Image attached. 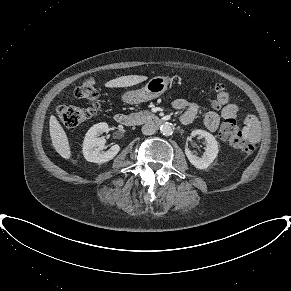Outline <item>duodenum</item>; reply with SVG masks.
Returning a JSON list of instances; mask_svg holds the SVG:
<instances>
[{"instance_id": "duodenum-1", "label": "duodenum", "mask_w": 291, "mask_h": 291, "mask_svg": "<svg viewBox=\"0 0 291 291\" xmlns=\"http://www.w3.org/2000/svg\"><path fill=\"white\" fill-rule=\"evenodd\" d=\"M114 119L120 125L129 126L132 124V118L127 114L118 113L115 115ZM154 122L157 125H160L163 122V120L157 118L154 120Z\"/></svg>"}]
</instances>
